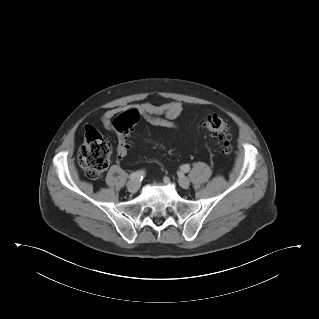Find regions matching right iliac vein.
Instances as JSON below:
<instances>
[{"instance_id": "right-iliac-vein-1", "label": "right iliac vein", "mask_w": 319, "mask_h": 319, "mask_svg": "<svg viewBox=\"0 0 319 319\" xmlns=\"http://www.w3.org/2000/svg\"><path fill=\"white\" fill-rule=\"evenodd\" d=\"M140 188V182L137 180H131L127 183V189L131 193H136Z\"/></svg>"}]
</instances>
